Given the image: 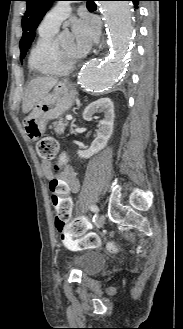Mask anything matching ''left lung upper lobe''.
I'll return each instance as SVG.
<instances>
[{
  "label": "left lung upper lobe",
  "instance_id": "obj_1",
  "mask_svg": "<svg viewBox=\"0 0 183 329\" xmlns=\"http://www.w3.org/2000/svg\"><path fill=\"white\" fill-rule=\"evenodd\" d=\"M27 3V11L22 18L23 36L20 41V59L26 55L28 48L35 38V30L43 16L48 11L51 3L57 0H24Z\"/></svg>",
  "mask_w": 183,
  "mask_h": 329
}]
</instances>
